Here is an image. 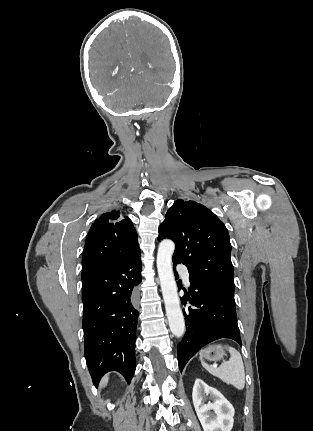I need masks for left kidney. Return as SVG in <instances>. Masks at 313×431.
Wrapping results in <instances>:
<instances>
[{
    "instance_id": "left-kidney-1",
    "label": "left kidney",
    "mask_w": 313,
    "mask_h": 431,
    "mask_svg": "<svg viewBox=\"0 0 313 431\" xmlns=\"http://www.w3.org/2000/svg\"><path fill=\"white\" fill-rule=\"evenodd\" d=\"M208 395L213 402L204 404ZM192 400L204 431H231L235 410L218 390L198 378L193 386Z\"/></svg>"
}]
</instances>
